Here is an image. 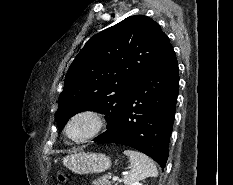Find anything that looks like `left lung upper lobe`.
I'll use <instances>...</instances> for the list:
<instances>
[{
    "label": "left lung upper lobe",
    "instance_id": "left-lung-upper-lobe-1",
    "mask_svg": "<svg viewBox=\"0 0 233 185\" xmlns=\"http://www.w3.org/2000/svg\"><path fill=\"white\" fill-rule=\"evenodd\" d=\"M169 44L160 25L143 15L130 16L92 36L76 56L59 97L60 129L85 111L105 114L113 126L135 85Z\"/></svg>",
    "mask_w": 233,
    "mask_h": 185
}]
</instances>
